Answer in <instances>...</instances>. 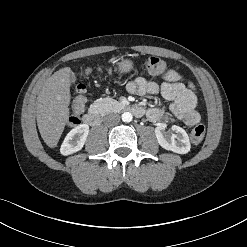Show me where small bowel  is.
Here are the masks:
<instances>
[{
  "instance_id": "obj_1",
  "label": "small bowel",
  "mask_w": 247,
  "mask_h": 247,
  "mask_svg": "<svg viewBox=\"0 0 247 247\" xmlns=\"http://www.w3.org/2000/svg\"><path fill=\"white\" fill-rule=\"evenodd\" d=\"M127 90L133 95H161L170 102L167 112L156 107L148 109L147 117L152 122L176 119L187 126H194L200 121L195 86L176 71L163 74L161 82L138 77L127 84Z\"/></svg>"
}]
</instances>
